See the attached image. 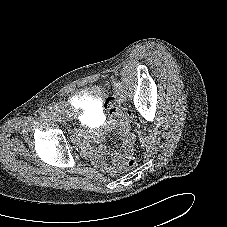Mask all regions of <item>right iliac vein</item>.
Masks as SVG:
<instances>
[{
    "mask_svg": "<svg viewBox=\"0 0 227 227\" xmlns=\"http://www.w3.org/2000/svg\"><path fill=\"white\" fill-rule=\"evenodd\" d=\"M53 121H58V116L53 114L51 117H50Z\"/></svg>",
    "mask_w": 227,
    "mask_h": 227,
    "instance_id": "right-iliac-vein-1",
    "label": "right iliac vein"
}]
</instances>
